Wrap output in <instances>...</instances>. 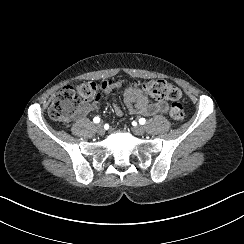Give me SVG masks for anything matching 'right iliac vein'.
I'll use <instances>...</instances> for the list:
<instances>
[{
    "label": "right iliac vein",
    "mask_w": 244,
    "mask_h": 244,
    "mask_svg": "<svg viewBox=\"0 0 244 244\" xmlns=\"http://www.w3.org/2000/svg\"><path fill=\"white\" fill-rule=\"evenodd\" d=\"M95 128H96V131H97L99 134L103 135V134L105 133V129H104L102 123L97 124V125L95 126Z\"/></svg>",
    "instance_id": "63e3f726"
}]
</instances>
